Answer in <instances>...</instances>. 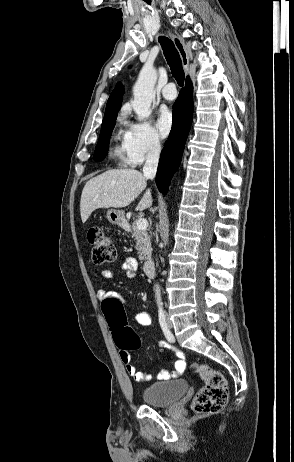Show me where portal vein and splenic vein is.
I'll return each instance as SVG.
<instances>
[{
	"instance_id": "obj_1",
	"label": "portal vein and splenic vein",
	"mask_w": 294,
	"mask_h": 462,
	"mask_svg": "<svg viewBox=\"0 0 294 462\" xmlns=\"http://www.w3.org/2000/svg\"><path fill=\"white\" fill-rule=\"evenodd\" d=\"M147 227H148V222H147L146 219H144V218H139V219L137 220V228H138L139 230H146Z\"/></svg>"
}]
</instances>
